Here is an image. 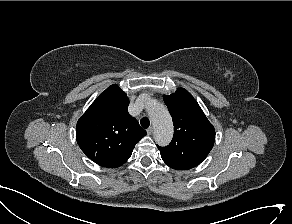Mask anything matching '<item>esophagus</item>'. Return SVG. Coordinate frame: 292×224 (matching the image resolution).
Listing matches in <instances>:
<instances>
[{
	"instance_id": "1",
	"label": "esophagus",
	"mask_w": 292,
	"mask_h": 224,
	"mask_svg": "<svg viewBox=\"0 0 292 224\" xmlns=\"http://www.w3.org/2000/svg\"><path fill=\"white\" fill-rule=\"evenodd\" d=\"M153 131H154L153 127H149V128L147 129V134H148V135H152V134H153Z\"/></svg>"
}]
</instances>
